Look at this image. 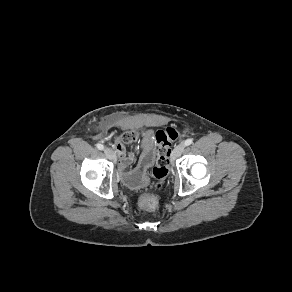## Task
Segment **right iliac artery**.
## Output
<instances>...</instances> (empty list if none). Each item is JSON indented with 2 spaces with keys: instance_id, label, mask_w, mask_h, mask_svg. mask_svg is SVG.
I'll use <instances>...</instances> for the list:
<instances>
[{
  "instance_id": "82829eb1",
  "label": "right iliac artery",
  "mask_w": 292,
  "mask_h": 292,
  "mask_svg": "<svg viewBox=\"0 0 292 292\" xmlns=\"http://www.w3.org/2000/svg\"><path fill=\"white\" fill-rule=\"evenodd\" d=\"M96 147L99 149V150H103L104 149V146L100 143L96 144Z\"/></svg>"
}]
</instances>
